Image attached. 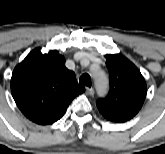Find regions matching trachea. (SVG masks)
<instances>
[{
    "instance_id": "obj_1",
    "label": "trachea",
    "mask_w": 165,
    "mask_h": 154,
    "mask_svg": "<svg viewBox=\"0 0 165 154\" xmlns=\"http://www.w3.org/2000/svg\"><path fill=\"white\" fill-rule=\"evenodd\" d=\"M79 83L82 85H85L87 87H91V77L89 76V74L85 73L82 74L80 79H79Z\"/></svg>"
}]
</instances>
